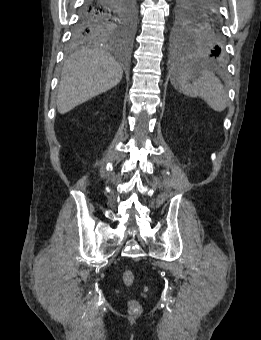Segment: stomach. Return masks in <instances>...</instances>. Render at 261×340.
Returning a JSON list of instances; mask_svg holds the SVG:
<instances>
[{"instance_id":"stomach-1","label":"stomach","mask_w":261,"mask_h":340,"mask_svg":"<svg viewBox=\"0 0 261 340\" xmlns=\"http://www.w3.org/2000/svg\"><path fill=\"white\" fill-rule=\"evenodd\" d=\"M183 70H184V68H183L181 65L178 66V67L174 70L173 76H175V77L179 76V75L182 73Z\"/></svg>"}]
</instances>
